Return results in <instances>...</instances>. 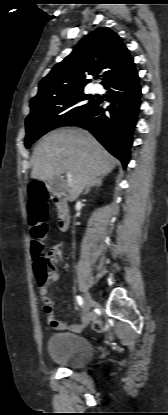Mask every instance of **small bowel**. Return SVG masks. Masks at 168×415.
Returning a JSON list of instances; mask_svg holds the SVG:
<instances>
[{
	"label": "small bowel",
	"mask_w": 168,
	"mask_h": 415,
	"mask_svg": "<svg viewBox=\"0 0 168 415\" xmlns=\"http://www.w3.org/2000/svg\"><path fill=\"white\" fill-rule=\"evenodd\" d=\"M62 254H63V249L62 246L60 244H56L54 246L51 247L50 251H49V255L51 257V260L57 262V263H61L62 262ZM58 279V274L55 271H52L50 273V280L52 281H56ZM39 294L43 300V310L45 312V314L47 315V323L49 326L53 327V328H57V329H65V328H69V329H81L82 325L81 324H67L65 322H62L60 320H58L53 312V306H54V301L48 297V290L46 288V286H40L39 289Z\"/></svg>",
	"instance_id": "obj_1"
}]
</instances>
